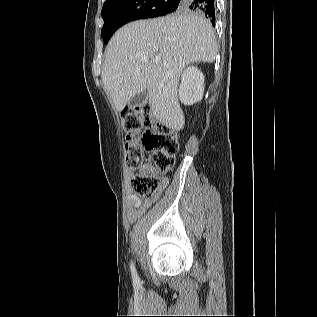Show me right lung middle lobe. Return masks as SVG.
<instances>
[{
    "label": "right lung middle lobe",
    "mask_w": 317,
    "mask_h": 317,
    "mask_svg": "<svg viewBox=\"0 0 317 317\" xmlns=\"http://www.w3.org/2000/svg\"><path fill=\"white\" fill-rule=\"evenodd\" d=\"M174 0H106L102 8L104 25L101 35L105 43L122 25L145 18L165 16L181 11L172 5Z\"/></svg>",
    "instance_id": "1"
}]
</instances>
